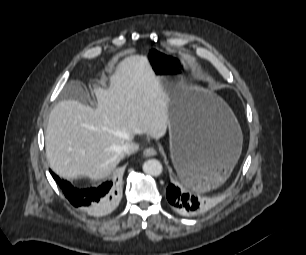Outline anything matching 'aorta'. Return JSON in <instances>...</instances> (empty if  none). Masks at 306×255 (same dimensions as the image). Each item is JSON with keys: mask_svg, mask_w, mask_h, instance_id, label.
I'll list each match as a JSON object with an SVG mask.
<instances>
[{"mask_svg": "<svg viewBox=\"0 0 306 255\" xmlns=\"http://www.w3.org/2000/svg\"><path fill=\"white\" fill-rule=\"evenodd\" d=\"M143 172L150 176H159L163 171L161 162L157 159H149L143 163Z\"/></svg>", "mask_w": 306, "mask_h": 255, "instance_id": "obj_1", "label": "aorta"}]
</instances>
